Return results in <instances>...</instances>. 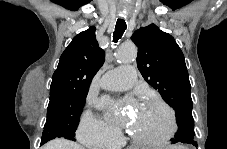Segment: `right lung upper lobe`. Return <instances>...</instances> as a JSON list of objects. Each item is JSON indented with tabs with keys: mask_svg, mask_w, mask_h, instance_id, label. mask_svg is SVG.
Listing matches in <instances>:
<instances>
[{
	"mask_svg": "<svg viewBox=\"0 0 227 149\" xmlns=\"http://www.w3.org/2000/svg\"><path fill=\"white\" fill-rule=\"evenodd\" d=\"M94 26L76 35L60 57L50 94L88 93L92 78L104 63L105 52L98 45Z\"/></svg>",
	"mask_w": 227,
	"mask_h": 149,
	"instance_id": "obj_1",
	"label": "right lung upper lobe"
}]
</instances>
